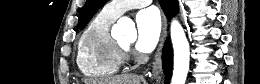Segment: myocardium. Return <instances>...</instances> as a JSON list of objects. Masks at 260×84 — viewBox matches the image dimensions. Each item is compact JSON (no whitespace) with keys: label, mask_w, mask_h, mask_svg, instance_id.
<instances>
[{"label":"myocardium","mask_w":260,"mask_h":84,"mask_svg":"<svg viewBox=\"0 0 260 84\" xmlns=\"http://www.w3.org/2000/svg\"><path fill=\"white\" fill-rule=\"evenodd\" d=\"M114 46L120 57L125 61L130 54V47L122 45L120 42L114 40Z\"/></svg>","instance_id":"myocardium-1"}]
</instances>
